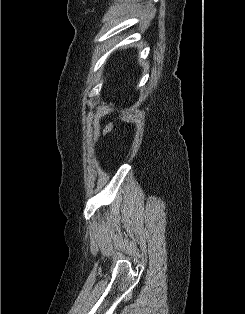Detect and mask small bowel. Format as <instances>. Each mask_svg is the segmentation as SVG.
<instances>
[{"label":"small bowel","instance_id":"c3829d8e","mask_svg":"<svg viewBox=\"0 0 245 314\" xmlns=\"http://www.w3.org/2000/svg\"><path fill=\"white\" fill-rule=\"evenodd\" d=\"M111 131H112V126L111 125L107 126V128L105 129V133L107 134V133H110Z\"/></svg>","mask_w":245,"mask_h":314}]
</instances>
